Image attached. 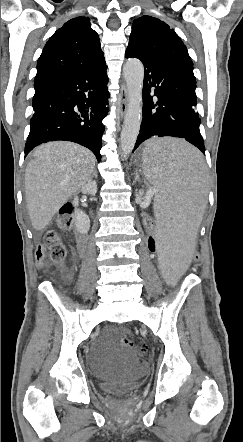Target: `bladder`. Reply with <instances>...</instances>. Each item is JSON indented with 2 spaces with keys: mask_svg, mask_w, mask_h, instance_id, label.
I'll use <instances>...</instances> for the list:
<instances>
[{
  "mask_svg": "<svg viewBox=\"0 0 243 442\" xmlns=\"http://www.w3.org/2000/svg\"><path fill=\"white\" fill-rule=\"evenodd\" d=\"M100 370L105 371L101 374L100 390L122 395L137 388L145 367L134 354L122 352L116 360V368Z\"/></svg>",
  "mask_w": 243,
  "mask_h": 442,
  "instance_id": "1",
  "label": "bladder"
}]
</instances>
